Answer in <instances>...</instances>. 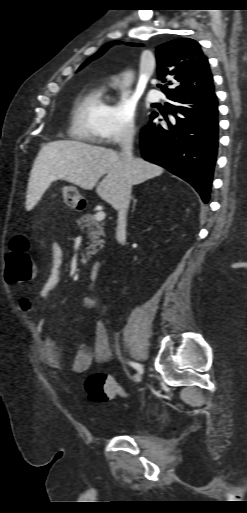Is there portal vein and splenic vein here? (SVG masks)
I'll use <instances>...</instances> for the list:
<instances>
[{
    "label": "portal vein and splenic vein",
    "instance_id": "1",
    "mask_svg": "<svg viewBox=\"0 0 247 513\" xmlns=\"http://www.w3.org/2000/svg\"><path fill=\"white\" fill-rule=\"evenodd\" d=\"M106 217V213L104 211H98L96 214H95V220L96 221H102L104 220Z\"/></svg>",
    "mask_w": 247,
    "mask_h": 513
}]
</instances>
